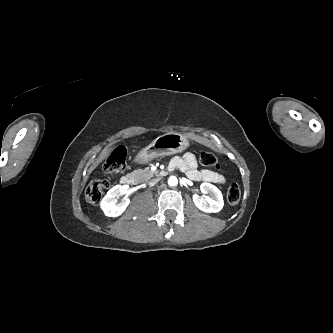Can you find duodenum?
Returning a JSON list of instances; mask_svg holds the SVG:
<instances>
[{
  "instance_id": "obj_1",
  "label": "duodenum",
  "mask_w": 333,
  "mask_h": 333,
  "mask_svg": "<svg viewBox=\"0 0 333 333\" xmlns=\"http://www.w3.org/2000/svg\"><path fill=\"white\" fill-rule=\"evenodd\" d=\"M174 168L169 166L168 170H162L161 174H166L167 171L173 170ZM121 183L124 185H134L136 183L135 176L133 174H126L121 177Z\"/></svg>"
}]
</instances>
